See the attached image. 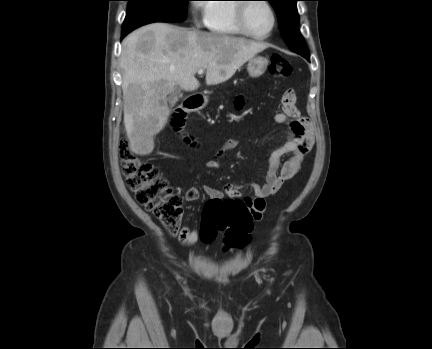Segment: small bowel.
Masks as SVG:
<instances>
[{
  "mask_svg": "<svg viewBox=\"0 0 432 349\" xmlns=\"http://www.w3.org/2000/svg\"><path fill=\"white\" fill-rule=\"evenodd\" d=\"M244 98L238 96L235 100V107L241 110L244 106ZM277 123H288L287 139L275 149L268 157L267 173L263 185L250 184L253 189V197H242L240 187L234 184H227L223 190L210 186L204 187L206 195L215 201H221L225 197L230 199L244 200L250 207L253 220L258 221L263 217L266 208V198L279 191L282 185L293 178L300 169L302 160L311 150L314 144V129L310 120L300 115L295 105L293 90H287L282 98V112L275 115ZM237 139L228 140L206 163L208 169H217L220 166L221 158L238 145ZM291 154V157L283 164L282 157ZM199 190L191 187L187 190L185 199L187 202H194L199 198ZM199 237L198 230L188 225L184 226L179 234L178 241L185 246L193 245Z\"/></svg>",
  "mask_w": 432,
  "mask_h": 349,
  "instance_id": "obj_1",
  "label": "small bowel"
}]
</instances>
